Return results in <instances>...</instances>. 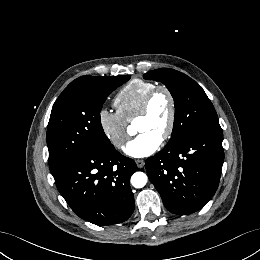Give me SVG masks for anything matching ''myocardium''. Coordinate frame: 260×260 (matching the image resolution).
Masks as SVG:
<instances>
[{
	"instance_id": "f54148a6",
	"label": "myocardium",
	"mask_w": 260,
	"mask_h": 260,
	"mask_svg": "<svg viewBox=\"0 0 260 260\" xmlns=\"http://www.w3.org/2000/svg\"><path fill=\"white\" fill-rule=\"evenodd\" d=\"M160 92L165 93L170 101V115H169V120L167 127L161 137V141H167L168 139L171 138L174 129H175V124H176V118H177V103L175 96L173 92L165 85H157L154 88H152L143 98L139 110L136 114L135 119L137 120L138 118L145 117L150 109L151 102L153 98Z\"/></svg>"
}]
</instances>
